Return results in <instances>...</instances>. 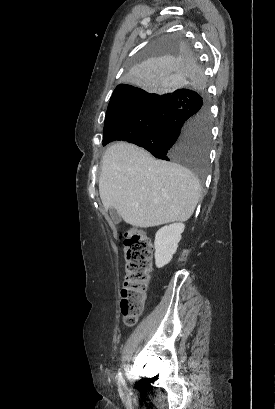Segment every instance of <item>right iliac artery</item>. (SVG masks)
<instances>
[{
	"label": "right iliac artery",
	"instance_id": "1",
	"mask_svg": "<svg viewBox=\"0 0 275 409\" xmlns=\"http://www.w3.org/2000/svg\"><path fill=\"white\" fill-rule=\"evenodd\" d=\"M118 379H119V382H120V383H124V379L122 378L121 373H119Z\"/></svg>",
	"mask_w": 275,
	"mask_h": 409
}]
</instances>
